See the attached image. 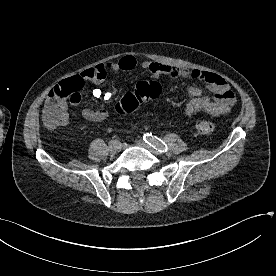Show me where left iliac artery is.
Instances as JSON below:
<instances>
[{
	"label": "left iliac artery",
	"mask_w": 276,
	"mask_h": 276,
	"mask_svg": "<svg viewBox=\"0 0 276 276\" xmlns=\"http://www.w3.org/2000/svg\"><path fill=\"white\" fill-rule=\"evenodd\" d=\"M143 140L159 152H166L168 149L167 145L163 141H161L156 136H153L151 133L144 134Z\"/></svg>",
	"instance_id": "obj_1"
}]
</instances>
